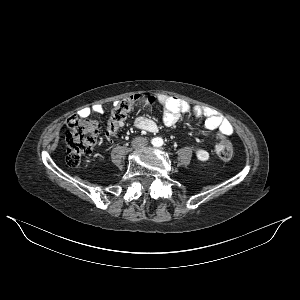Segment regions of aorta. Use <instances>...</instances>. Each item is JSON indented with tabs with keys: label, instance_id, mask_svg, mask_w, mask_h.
Returning <instances> with one entry per match:
<instances>
[{
	"label": "aorta",
	"instance_id": "obj_1",
	"mask_svg": "<svg viewBox=\"0 0 300 300\" xmlns=\"http://www.w3.org/2000/svg\"><path fill=\"white\" fill-rule=\"evenodd\" d=\"M163 143H164V141H163V139L160 138V137H156V138H154V139L152 140V144H153L154 146H156V147L162 146Z\"/></svg>",
	"mask_w": 300,
	"mask_h": 300
}]
</instances>
